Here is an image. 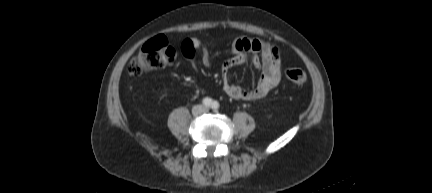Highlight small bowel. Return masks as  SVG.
<instances>
[{
  "label": "small bowel",
  "mask_w": 432,
  "mask_h": 193,
  "mask_svg": "<svg viewBox=\"0 0 432 193\" xmlns=\"http://www.w3.org/2000/svg\"><path fill=\"white\" fill-rule=\"evenodd\" d=\"M205 43L198 38H186L180 43L183 55L190 61L194 71H197L196 52ZM202 60L206 67L212 66V59L203 52ZM249 62L260 71L257 85L245 90L228 79V72L236 65ZM281 59L278 47L268 42L238 37L233 43V56L224 62L221 70L223 91L231 98L246 101H256L264 98L281 80Z\"/></svg>",
  "instance_id": "1"
}]
</instances>
